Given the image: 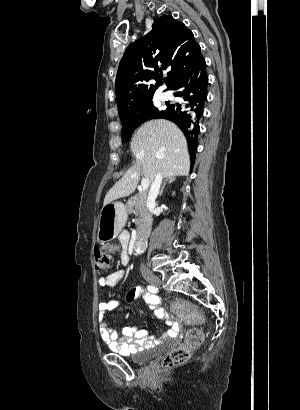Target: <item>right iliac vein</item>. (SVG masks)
<instances>
[{
	"instance_id": "right-iliac-vein-1",
	"label": "right iliac vein",
	"mask_w": 300,
	"mask_h": 410,
	"mask_svg": "<svg viewBox=\"0 0 300 410\" xmlns=\"http://www.w3.org/2000/svg\"><path fill=\"white\" fill-rule=\"evenodd\" d=\"M144 278L146 279L147 282H149L150 284L154 286H159L161 284L160 278L150 272L144 273Z\"/></svg>"
}]
</instances>
